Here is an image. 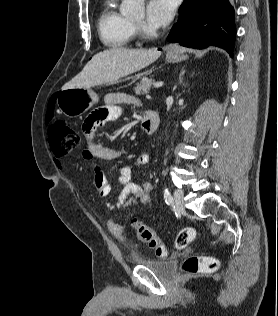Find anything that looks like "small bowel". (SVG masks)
<instances>
[{
	"label": "small bowel",
	"mask_w": 278,
	"mask_h": 316,
	"mask_svg": "<svg viewBox=\"0 0 278 316\" xmlns=\"http://www.w3.org/2000/svg\"><path fill=\"white\" fill-rule=\"evenodd\" d=\"M104 106L94 110L84 121L82 129L86 137V148L82 151V157L85 161L93 165L94 184L102 197H110L112 186L106 178L97 160H115L121 157L122 151L104 146L98 141V133L101 126L106 122L116 120L122 112L121 105L124 103L135 102V100L122 93H110L105 96ZM148 153H142L138 156L133 166H124L119 170L118 184L120 192L116 201L108 200V207L126 208L132 205H149L152 202L153 186L150 182L137 184L132 182L134 167H140L149 162ZM110 233L120 241H125L122 226L115 220L110 219L107 222Z\"/></svg>",
	"instance_id": "obj_1"
}]
</instances>
